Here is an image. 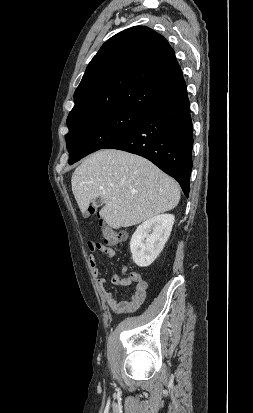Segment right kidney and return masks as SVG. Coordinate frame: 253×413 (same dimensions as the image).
Masks as SVG:
<instances>
[{
    "label": "right kidney",
    "mask_w": 253,
    "mask_h": 413,
    "mask_svg": "<svg viewBox=\"0 0 253 413\" xmlns=\"http://www.w3.org/2000/svg\"><path fill=\"white\" fill-rule=\"evenodd\" d=\"M174 220L172 214H161L137 227L130 241V251L136 265L147 267L153 263L170 236Z\"/></svg>",
    "instance_id": "1"
}]
</instances>
